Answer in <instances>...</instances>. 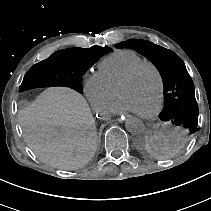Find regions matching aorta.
<instances>
[{
    "mask_svg": "<svg viewBox=\"0 0 211 211\" xmlns=\"http://www.w3.org/2000/svg\"><path fill=\"white\" fill-rule=\"evenodd\" d=\"M126 129L133 135H140L144 132V123L136 117H131L126 120Z\"/></svg>",
    "mask_w": 211,
    "mask_h": 211,
    "instance_id": "762f6f07",
    "label": "aorta"
}]
</instances>
